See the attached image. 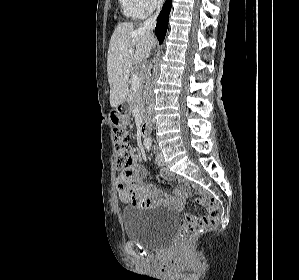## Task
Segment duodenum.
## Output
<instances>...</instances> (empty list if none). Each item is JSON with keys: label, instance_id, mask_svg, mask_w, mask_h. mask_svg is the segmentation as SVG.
Wrapping results in <instances>:
<instances>
[{"label": "duodenum", "instance_id": "1", "mask_svg": "<svg viewBox=\"0 0 299 280\" xmlns=\"http://www.w3.org/2000/svg\"><path fill=\"white\" fill-rule=\"evenodd\" d=\"M149 131V120L145 116L142 119L141 125H140V134L142 137H145Z\"/></svg>", "mask_w": 299, "mask_h": 280}]
</instances>
